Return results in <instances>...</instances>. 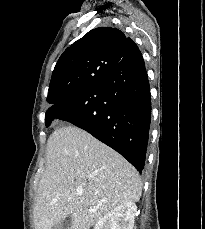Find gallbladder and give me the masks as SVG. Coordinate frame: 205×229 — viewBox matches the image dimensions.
<instances>
[{
	"label": "gallbladder",
	"instance_id": "obj_1",
	"mask_svg": "<svg viewBox=\"0 0 205 229\" xmlns=\"http://www.w3.org/2000/svg\"><path fill=\"white\" fill-rule=\"evenodd\" d=\"M72 224V219L70 216L66 217L60 223L54 225L52 229H70Z\"/></svg>",
	"mask_w": 205,
	"mask_h": 229
}]
</instances>
